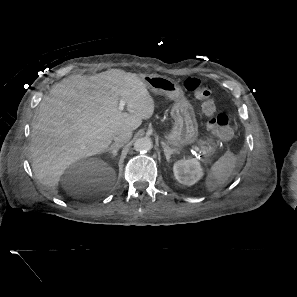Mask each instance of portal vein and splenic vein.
Segmentation results:
<instances>
[{
    "mask_svg": "<svg viewBox=\"0 0 297 297\" xmlns=\"http://www.w3.org/2000/svg\"><path fill=\"white\" fill-rule=\"evenodd\" d=\"M125 105H126L125 101L124 100H120L119 109L120 110H123ZM194 150L197 151L198 153H201V150L197 146H194Z\"/></svg>",
    "mask_w": 297,
    "mask_h": 297,
    "instance_id": "1",
    "label": "portal vein and splenic vein"
}]
</instances>
